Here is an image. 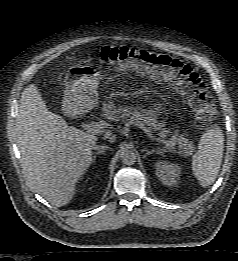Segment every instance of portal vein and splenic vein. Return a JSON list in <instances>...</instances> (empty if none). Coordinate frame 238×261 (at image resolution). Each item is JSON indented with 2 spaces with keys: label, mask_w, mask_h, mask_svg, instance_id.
<instances>
[{
  "label": "portal vein and splenic vein",
  "mask_w": 238,
  "mask_h": 261,
  "mask_svg": "<svg viewBox=\"0 0 238 261\" xmlns=\"http://www.w3.org/2000/svg\"><path fill=\"white\" fill-rule=\"evenodd\" d=\"M108 124L105 122H90L88 124H86L85 130H87L88 132L92 133V134H99L102 133L104 131V128L107 126ZM138 125L150 138L156 139L158 142H161L162 144H164L167 147H170L172 149H175V144L171 141L165 140V139H160V138H156L150 130H148L146 127H144L141 124H136Z\"/></svg>",
  "instance_id": "obj_1"
}]
</instances>
